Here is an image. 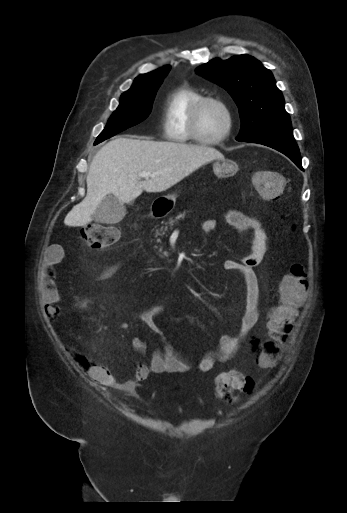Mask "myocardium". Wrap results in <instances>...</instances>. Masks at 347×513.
I'll return each mask as SVG.
<instances>
[{"label": "myocardium", "instance_id": "1", "mask_svg": "<svg viewBox=\"0 0 347 513\" xmlns=\"http://www.w3.org/2000/svg\"><path fill=\"white\" fill-rule=\"evenodd\" d=\"M216 103L220 105L227 116V127L226 130L216 138H206L200 134L199 131V116L203 106L207 103ZM234 127V114L231 106L228 102L215 96H203L193 107L190 114L189 130L192 137L201 144L204 145H217L225 141L232 133Z\"/></svg>", "mask_w": 347, "mask_h": 513}]
</instances>
